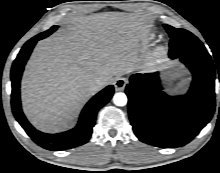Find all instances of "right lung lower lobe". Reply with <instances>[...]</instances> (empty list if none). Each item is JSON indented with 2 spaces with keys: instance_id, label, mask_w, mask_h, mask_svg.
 Segmentation results:
<instances>
[{
  "instance_id": "obj_1",
  "label": "right lung lower lobe",
  "mask_w": 220,
  "mask_h": 173,
  "mask_svg": "<svg viewBox=\"0 0 220 173\" xmlns=\"http://www.w3.org/2000/svg\"><path fill=\"white\" fill-rule=\"evenodd\" d=\"M43 33L33 37L22 47L17 58L13 62L11 69V81H12V94L11 105L13 114L19 124L23 127L26 133L32 138V140L41 147L52 150H66L76 146L85 144L91 134L92 128L95 123L97 112L102 108L112 97L114 88L112 85L106 87L101 92L96 94L84 107L77 126L64 133L59 134H45L36 130L24 116L21 103H20V79L29 55L35 46L36 42L45 38Z\"/></svg>"
}]
</instances>
